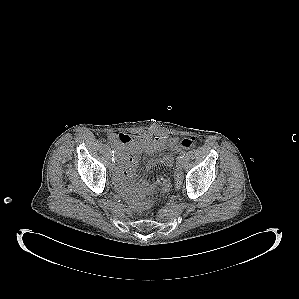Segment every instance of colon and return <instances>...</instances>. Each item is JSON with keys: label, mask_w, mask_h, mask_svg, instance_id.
Masks as SVG:
<instances>
[{"label": "colon", "mask_w": 299, "mask_h": 299, "mask_svg": "<svg viewBox=\"0 0 299 299\" xmlns=\"http://www.w3.org/2000/svg\"><path fill=\"white\" fill-rule=\"evenodd\" d=\"M195 139L194 138H185L183 139L179 146L181 149H189L194 145ZM183 183V177H182V172L180 171V168L177 166L176 163V168L174 171V185L175 188H180Z\"/></svg>", "instance_id": "1"}]
</instances>
